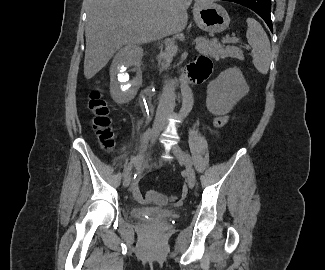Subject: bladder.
<instances>
[{
	"label": "bladder",
	"instance_id": "31cf9c89",
	"mask_svg": "<svg viewBox=\"0 0 325 270\" xmlns=\"http://www.w3.org/2000/svg\"><path fill=\"white\" fill-rule=\"evenodd\" d=\"M133 214L137 218H144L147 216L148 218L154 217L161 220H173L179 216L176 211L170 209L143 207H135L133 209Z\"/></svg>",
	"mask_w": 325,
	"mask_h": 270
}]
</instances>
